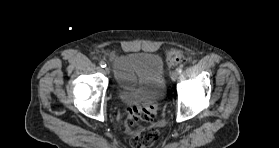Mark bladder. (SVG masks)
I'll use <instances>...</instances> for the list:
<instances>
[{
	"label": "bladder",
	"instance_id": "31cf9c89",
	"mask_svg": "<svg viewBox=\"0 0 279 148\" xmlns=\"http://www.w3.org/2000/svg\"><path fill=\"white\" fill-rule=\"evenodd\" d=\"M138 78V86L132 91L120 90L119 97L126 104H135L157 98L164 88V64L154 53L133 52L123 59Z\"/></svg>",
	"mask_w": 279,
	"mask_h": 148
}]
</instances>
